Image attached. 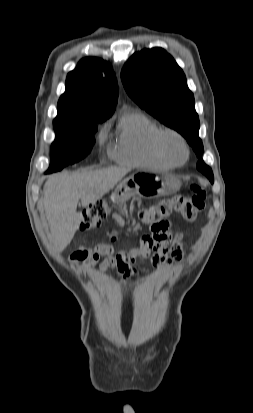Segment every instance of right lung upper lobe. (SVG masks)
Segmentation results:
<instances>
[{"mask_svg":"<svg viewBox=\"0 0 253 413\" xmlns=\"http://www.w3.org/2000/svg\"><path fill=\"white\" fill-rule=\"evenodd\" d=\"M117 98V80L111 65L98 58H84L67 76L56 118H109Z\"/></svg>","mask_w":253,"mask_h":413,"instance_id":"obj_1","label":"right lung upper lobe"}]
</instances>
